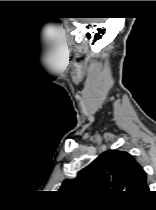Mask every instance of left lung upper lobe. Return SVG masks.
Returning <instances> with one entry per match:
<instances>
[{"mask_svg": "<svg viewBox=\"0 0 156 210\" xmlns=\"http://www.w3.org/2000/svg\"><path fill=\"white\" fill-rule=\"evenodd\" d=\"M118 192L140 195L149 191L146 173L132 155L124 151L110 150L98 156L82 169L75 179L63 182V193Z\"/></svg>", "mask_w": 156, "mask_h": 210, "instance_id": "1", "label": "left lung upper lobe"}]
</instances>
